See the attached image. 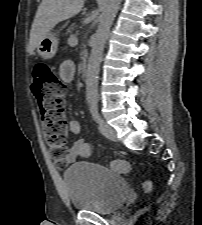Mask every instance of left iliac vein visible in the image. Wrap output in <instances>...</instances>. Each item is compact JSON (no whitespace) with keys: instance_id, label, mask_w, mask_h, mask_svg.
I'll return each mask as SVG.
<instances>
[{"instance_id":"1","label":"left iliac vein","mask_w":202,"mask_h":225,"mask_svg":"<svg viewBox=\"0 0 202 225\" xmlns=\"http://www.w3.org/2000/svg\"><path fill=\"white\" fill-rule=\"evenodd\" d=\"M98 127L102 135H104L106 138L111 141H117L116 131L111 126L104 122H101L99 123Z\"/></svg>"}]
</instances>
